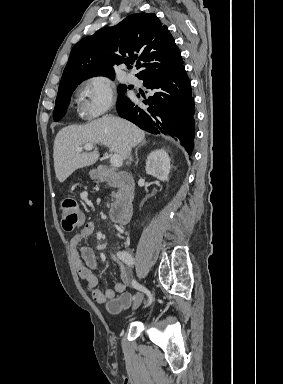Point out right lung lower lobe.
Returning a JSON list of instances; mask_svg holds the SVG:
<instances>
[{"instance_id":"right-lung-lower-lobe-1","label":"right lung lower lobe","mask_w":283,"mask_h":384,"mask_svg":"<svg viewBox=\"0 0 283 384\" xmlns=\"http://www.w3.org/2000/svg\"><path fill=\"white\" fill-rule=\"evenodd\" d=\"M143 81L145 87L153 90V96L144 101L146 107L135 106L125 98L116 104L119 116L148 132L166 134L179 140L191 155L195 110L190 80L184 65Z\"/></svg>"}]
</instances>
